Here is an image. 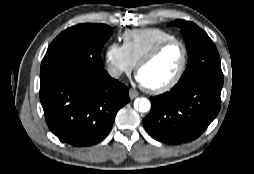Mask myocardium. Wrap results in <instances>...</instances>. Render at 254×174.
<instances>
[{
	"label": "myocardium",
	"mask_w": 254,
	"mask_h": 174,
	"mask_svg": "<svg viewBox=\"0 0 254 174\" xmlns=\"http://www.w3.org/2000/svg\"><path fill=\"white\" fill-rule=\"evenodd\" d=\"M172 44H179L182 48V63L180 65L179 70L177 71L176 75L167 83L164 85L158 86V87H149L143 85V88L152 94H163L165 92L170 91L172 88H174L182 79L186 68L188 64V48L186 44L178 38L169 39L166 41H163L159 44H157L155 47H153L144 57L141 58V60L137 63L136 66V73L138 74L139 70L144 67L145 65L152 62L160 53L162 50H164L166 47L172 45Z\"/></svg>",
	"instance_id": "obj_1"
}]
</instances>
